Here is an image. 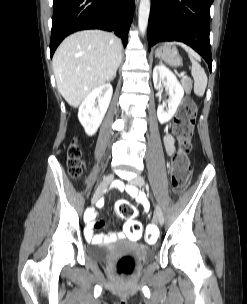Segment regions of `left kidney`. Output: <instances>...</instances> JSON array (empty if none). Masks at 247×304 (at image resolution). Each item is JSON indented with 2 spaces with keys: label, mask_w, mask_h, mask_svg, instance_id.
Masks as SVG:
<instances>
[{
  "label": "left kidney",
  "mask_w": 247,
  "mask_h": 304,
  "mask_svg": "<svg viewBox=\"0 0 247 304\" xmlns=\"http://www.w3.org/2000/svg\"><path fill=\"white\" fill-rule=\"evenodd\" d=\"M153 83L155 89L165 86L169 89L170 99L168 109L164 110V105H158L157 117L161 124L168 122L176 113L179 104L184 96V89L176 76L164 65H156L153 69Z\"/></svg>",
  "instance_id": "5707ae66"
}]
</instances>
